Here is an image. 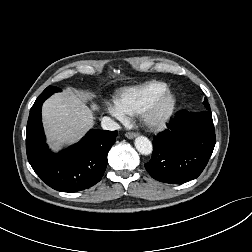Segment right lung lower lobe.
Returning <instances> with one entry per match:
<instances>
[{"label": "right lung lower lobe", "instance_id": "obj_1", "mask_svg": "<svg viewBox=\"0 0 252 252\" xmlns=\"http://www.w3.org/2000/svg\"><path fill=\"white\" fill-rule=\"evenodd\" d=\"M43 102L32 106L27 123L26 151L33 170L48 186L61 192H76L95 185L106 169L117 131L91 129L77 144L53 154L45 142Z\"/></svg>", "mask_w": 252, "mask_h": 252}]
</instances>
